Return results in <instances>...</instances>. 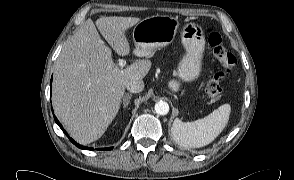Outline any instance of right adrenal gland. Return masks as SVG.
I'll list each match as a JSON object with an SVG mask.
<instances>
[{"label": "right adrenal gland", "mask_w": 294, "mask_h": 180, "mask_svg": "<svg viewBox=\"0 0 294 180\" xmlns=\"http://www.w3.org/2000/svg\"><path fill=\"white\" fill-rule=\"evenodd\" d=\"M131 97H132V94H129V93L125 94L123 98V108H126L129 105Z\"/></svg>", "instance_id": "2a0ac1e0"}]
</instances>
